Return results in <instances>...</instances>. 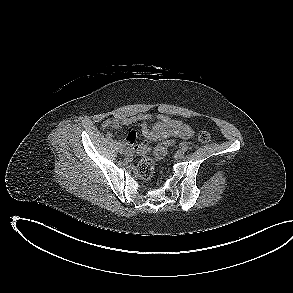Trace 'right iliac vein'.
Listing matches in <instances>:
<instances>
[{
    "instance_id": "obj_1",
    "label": "right iliac vein",
    "mask_w": 293,
    "mask_h": 293,
    "mask_svg": "<svg viewBox=\"0 0 293 293\" xmlns=\"http://www.w3.org/2000/svg\"><path fill=\"white\" fill-rule=\"evenodd\" d=\"M117 149H118V152L121 153V154L126 153V149H125V147L123 145H118Z\"/></svg>"
}]
</instances>
